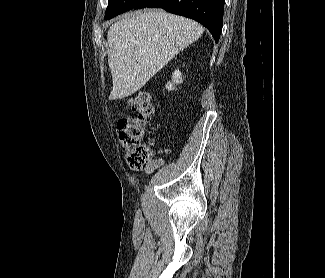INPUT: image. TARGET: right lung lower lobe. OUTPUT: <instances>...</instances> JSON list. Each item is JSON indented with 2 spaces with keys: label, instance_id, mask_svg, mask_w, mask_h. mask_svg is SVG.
I'll list each match as a JSON object with an SVG mask.
<instances>
[{
  "label": "right lung lower lobe",
  "instance_id": "98d812e1",
  "mask_svg": "<svg viewBox=\"0 0 325 278\" xmlns=\"http://www.w3.org/2000/svg\"><path fill=\"white\" fill-rule=\"evenodd\" d=\"M225 0H137L132 8H163L166 11L185 16L204 25L218 42Z\"/></svg>",
  "mask_w": 325,
  "mask_h": 278
}]
</instances>
